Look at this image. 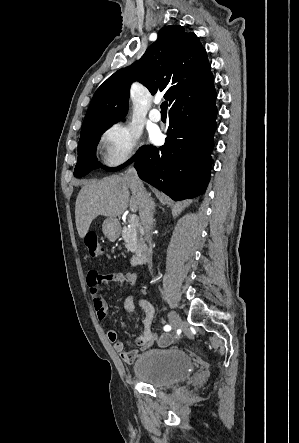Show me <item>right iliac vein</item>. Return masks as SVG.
<instances>
[{
  "mask_svg": "<svg viewBox=\"0 0 299 443\" xmlns=\"http://www.w3.org/2000/svg\"><path fill=\"white\" fill-rule=\"evenodd\" d=\"M168 319L172 327L175 329L180 328L183 325V321L180 316L173 311L168 313Z\"/></svg>",
  "mask_w": 299,
  "mask_h": 443,
  "instance_id": "1",
  "label": "right iliac vein"
}]
</instances>
